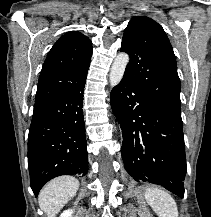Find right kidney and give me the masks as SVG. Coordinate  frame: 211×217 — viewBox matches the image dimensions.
<instances>
[{
    "instance_id": "right-kidney-1",
    "label": "right kidney",
    "mask_w": 211,
    "mask_h": 217,
    "mask_svg": "<svg viewBox=\"0 0 211 217\" xmlns=\"http://www.w3.org/2000/svg\"><path fill=\"white\" fill-rule=\"evenodd\" d=\"M72 214H73V210L68 209V210H65V211L60 215V217H72Z\"/></svg>"
}]
</instances>
